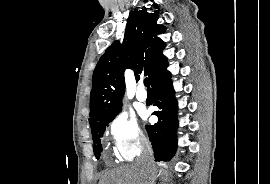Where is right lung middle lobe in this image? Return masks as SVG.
Segmentation results:
<instances>
[{"label": "right lung middle lobe", "instance_id": "dd1d6c3e", "mask_svg": "<svg viewBox=\"0 0 270 184\" xmlns=\"http://www.w3.org/2000/svg\"><path fill=\"white\" fill-rule=\"evenodd\" d=\"M115 116H113L110 119L100 121L91 125L94 155L96 156L97 159H99L100 152L102 151L101 137H103V133L106 129V126H108V124L114 119Z\"/></svg>", "mask_w": 270, "mask_h": 184}]
</instances>
